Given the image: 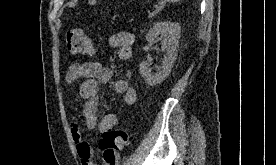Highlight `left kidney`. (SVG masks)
Masks as SVG:
<instances>
[{
  "label": "left kidney",
  "instance_id": "left-kidney-1",
  "mask_svg": "<svg viewBox=\"0 0 276 165\" xmlns=\"http://www.w3.org/2000/svg\"><path fill=\"white\" fill-rule=\"evenodd\" d=\"M181 27L174 22H157L146 34V40L149 43H155L160 38L162 39V49L166 50V56L163 59L162 66L156 73H153L150 61H142L140 63V74L151 86L161 83L171 72L173 63L177 57L179 46Z\"/></svg>",
  "mask_w": 276,
  "mask_h": 165
}]
</instances>
